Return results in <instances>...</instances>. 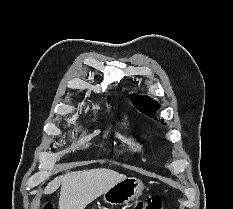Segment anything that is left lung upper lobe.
Segmentation results:
<instances>
[{"instance_id":"5c2ea615","label":"left lung upper lobe","mask_w":233,"mask_h":209,"mask_svg":"<svg viewBox=\"0 0 233 209\" xmlns=\"http://www.w3.org/2000/svg\"><path fill=\"white\" fill-rule=\"evenodd\" d=\"M130 99L137 110L149 117L155 115L156 110L159 108V105L156 101L146 96L131 94Z\"/></svg>"}]
</instances>
